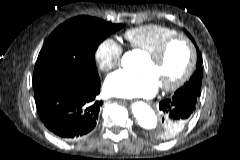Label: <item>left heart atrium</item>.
Returning a JSON list of instances; mask_svg holds the SVG:
<instances>
[{
	"instance_id": "1",
	"label": "left heart atrium",
	"mask_w": 240,
	"mask_h": 160,
	"mask_svg": "<svg viewBox=\"0 0 240 160\" xmlns=\"http://www.w3.org/2000/svg\"><path fill=\"white\" fill-rule=\"evenodd\" d=\"M159 86L156 77L150 72L137 74L119 70L107 77L105 91L109 95L123 98H148L157 93Z\"/></svg>"
}]
</instances>
